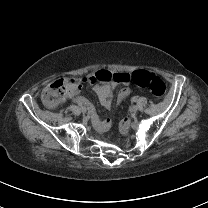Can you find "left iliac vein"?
<instances>
[{"label": "left iliac vein", "mask_w": 208, "mask_h": 208, "mask_svg": "<svg viewBox=\"0 0 208 208\" xmlns=\"http://www.w3.org/2000/svg\"><path fill=\"white\" fill-rule=\"evenodd\" d=\"M138 111V106L133 105L130 107V113L135 114Z\"/></svg>", "instance_id": "left-iliac-vein-1"}]
</instances>
